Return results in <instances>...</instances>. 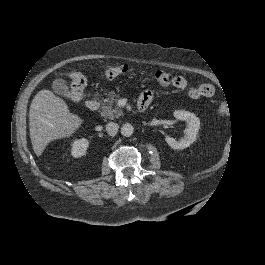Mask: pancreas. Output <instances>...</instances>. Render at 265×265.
<instances>
[{"label": "pancreas", "mask_w": 265, "mask_h": 265, "mask_svg": "<svg viewBox=\"0 0 265 265\" xmlns=\"http://www.w3.org/2000/svg\"><path fill=\"white\" fill-rule=\"evenodd\" d=\"M118 95L111 91L107 97L102 101L101 115L110 119H116L122 115V110L116 105Z\"/></svg>", "instance_id": "1"}]
</instances>
